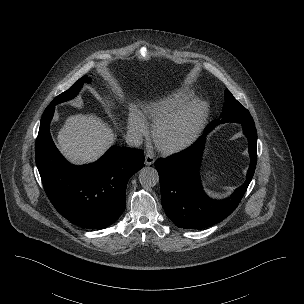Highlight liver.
I'll list each match as a JSON object with an SVG mask.
<instances>
[{"label": "liver", "mask_w": 304, "mask_h": 304, "mask_svg": "<svg viewBox=\"0 0 304 304\" xmlns=\"http://www.w3.org/2000/svg\"><path fill=\"white\" fill-rule=\"evenodd\" d=\"M115 139L110 126L92 113L69 116L57 136L59 150L74 164L97 160Z\"/></svg>", "instance_id": "liver-1"}]
</instances>
